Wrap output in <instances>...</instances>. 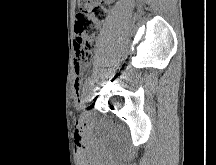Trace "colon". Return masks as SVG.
<instances>
[{
  "instance_id": "5ec220e1",
  "label": "colon",
  "mask_w": 216,
  "mask_h": 165,
  "mask_svg": "<svg viewBox=\"0 0 216 165\" xmlns=\"http://www.w3.org/2000/svg\"><path fill=\"white\" fill-rule=\"evenodd\" d=\"M79 11L75 20V58L81 65L89 64L98 29L110 9V0H78Z\"/></svg>"
}]
</instances>
